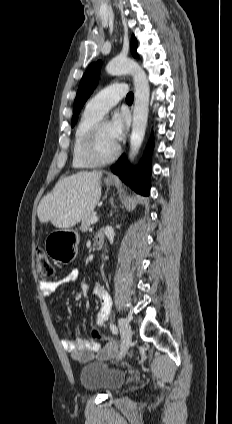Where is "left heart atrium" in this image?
<instances>
[{"label":"left heart atrium","instance_id":"39dd6f15","mask_svg":"<svg viewBox=\"0 0 232 424\" xmlns=\"http://www.w3.org/2000/svg\"><path fill=\"white\" fill-rule=\"evenodd\" d=\"M108 124L112 139L118 144L125 136L128 126L127 117L123 114H116Z\"/></svg>","mask_w":232,"mask_h":424}]
</instances>
